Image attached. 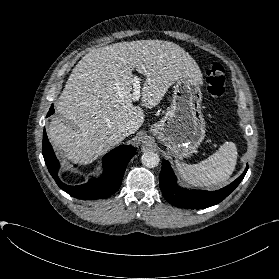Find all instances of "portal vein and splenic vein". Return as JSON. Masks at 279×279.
Masks as SVG:
<instances>
[{
  "instance_id": "portal-vein-and-splenic-vein-1",
  "label": "portal vein and splenic vein",
  "mask_w": 279,
  "mask_h": 279,
  "mask_svg": "<svg viewBox=\"0 0 279 279\" xmlns=\"http://www.w3.org/2000/svg\"><path fill=\"white\" fill-rule=\"evenodd\" d=\"M140 79L138 77L133 78V100L140 99Z\"/></svg>"
}]
</instances>
